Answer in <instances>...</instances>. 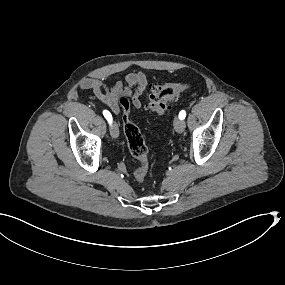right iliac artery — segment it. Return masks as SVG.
Returning <instances> with one entry per match:
<instances>
[{
	"label": "right iliac artery",
	"instance_id": "1",
	"mask_svg": "<svg viewBox=\"0 0 285 285\" xmlns=\"http://www.w3.org/2000/svg\"><path fill=\"white\" fill-rule=\"evenodd\" d=\"M103 115L107 119L109 124H111L112 123V115H111V113L109 111H107V110H104L103 111Z\"/></svg>",
	"mask_w": 285,
	"mask_h": 285
}]
</instances>
